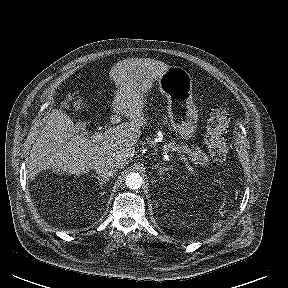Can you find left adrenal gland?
Listing matches in <instances>:
<instances>
[{"mask_svg": "<svg viewBox=\"0 0 288 288\" xmlns=\"http://www.w3.org/2000/svg\"><path fill=\"white\" fill-rule=\"evenodd\" d=\"M155 168L158 169L160 175H162L165 171H168L170 169V167H161L159 165L157 166L155 165Z\"/></svg>", "mask_w": 288, "mask_h": 288, "instance_id": "1", "label": "left adrenal gland"}]
</instances>
